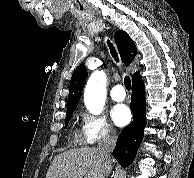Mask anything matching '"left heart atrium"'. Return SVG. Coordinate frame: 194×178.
Returning <instances> with one entry per match:
<instances>
[{"mask_svg": "<svg viewBox=\"0 0 194 178\" xmlns=\"http://www.w3.org/2000/svg\"><path fill=\"white\" fill-rule=\"evenodd\" d=\"M111 118L117 126H125L131 120V112L125 105H116L111 110Z\"/></svg>", "mask_w": 194, "mask_h": 178, "instance_id": "39dd6f15", "label": "left heart atrium"}]
</instances>
